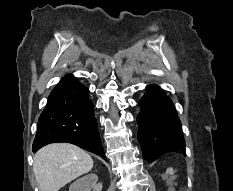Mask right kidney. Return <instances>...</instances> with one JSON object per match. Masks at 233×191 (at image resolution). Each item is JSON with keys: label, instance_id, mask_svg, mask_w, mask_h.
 <instances>
[{"label": "right kidney", "instance_id": "1", "mask_svg": "<svg viewBox=\"0 0 233 191\" xmlns=\"http://www.w3.org/2000/svg\"><path fill=\"white\" fill-rule=\"evenodd\" d=\"M97 181L98 176L96 174H88L71 184L69 191H101L102 184L97 183Z\"/></svg>", "mask_w": 233, "mask_h": 191}]
</instances>
